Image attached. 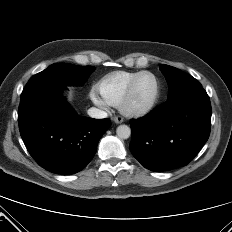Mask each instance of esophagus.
<instances>
[{
	"instance_id": "34e87169",
	"label": "esophagus",
	"mask_w": 232,
	"mask_h": 232,
	"mask_svg": "<svg viewBox=\"0 0 232 232\" xmlns=\"http://www.w3.org/2000/svg\"><path fill=\"white\" fill-rule=\"evenodd\" d=\"M113 121L116 124H121L123 122V118L121 116H115V117H113Z\"/></svg>"
}]
</instances>
